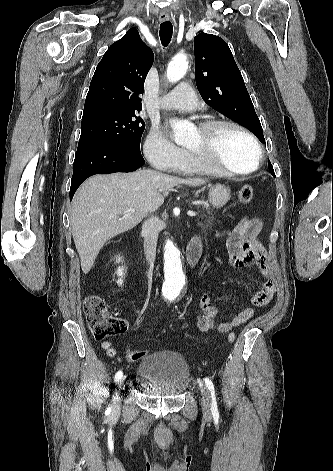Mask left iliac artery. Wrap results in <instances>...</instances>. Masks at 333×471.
Here are the masks:
<instances>
[{"label": "left iliac artery", "mask_w": 333, "mask_h": 471, "mask_svg": "<svg viewBox=\"0 0 333 471\" xmlns=\"http://www.w3.org/2000/svg\"><path fill=\"white\" fill-rule=\"evenodd\" d=\"M204 381H205V384H206L207 388L210 390V393H211V401H212L211 411H212V414H213V416L218 417L219 413H218V407H217V401H216L215 389H214L213 382L208 377H205Z\"/></svg>", "instance_id": "1"}]
</instances>
